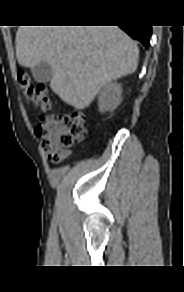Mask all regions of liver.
Here are the masks:
<instances>
[{"label":"liver","mask_w":184,"mask_h":292,"mask_svg":"<svg viewBox=\"0 0 184 292\" xmlns=\"http://www.w3.org/2000/svg\"><path fill=\"white\" fill-rule=\"evenodd\" d=\"M15 45L21 66L52 67L50 88L77 109L112 80L134 73L139 58L137 43L118 26H20Z\"/></svg>","instance_id":"6515ba94"}]
</instances>
